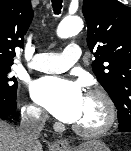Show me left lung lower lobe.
<instances>
[{
    "instance_id": "left-lung-lower-lobe-1",
    "label": "left lung lower lobe",
    "mask_w": 131,
    "mask_h": 151,
    "mask_svg": "<svg viewBox=\"0 0 131 151\" xmlns=\"http://www.w3.org/2000/svg\"><path fill=\"white\" fill-rule=\"evenodd\" d=\"M120 132H131V125H127L123 128H119Z\"/></svg>"
}]
</instances>
